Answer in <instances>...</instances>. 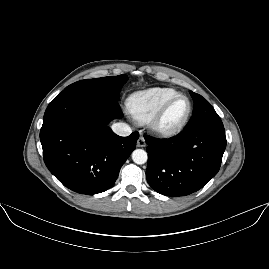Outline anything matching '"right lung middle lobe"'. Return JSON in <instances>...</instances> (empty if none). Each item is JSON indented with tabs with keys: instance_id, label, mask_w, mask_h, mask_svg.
<instances>
[{
	"instance_id": "dd1d6c3e",
	"label": "right lung middle lobe",
	"mask_w": 269,
	"mask_h": 269,
	"mask_svg": "<svg viewBox=\"0 0 269 269\" xmlns=\"http://www.w3.org/2000/svg\"><path fill=\"white\" fill-rule=\"evenodd\" d=\"M127 80L128 77L125 74L90 80H81L67 86L62 92L77 91L90 95L119 100V90Z\"/></svg>"
}]
</instances>
